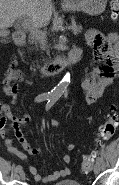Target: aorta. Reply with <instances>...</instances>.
<instances>
[{
    "label": "aorta",
    "mask_w": 119,
    "mask_h": 185,
    "mask_svg": "<svg viewBox=\"0 0 119 185\" xmlns=\"http://www.w3.org/2000/svg\"><path fill=\"white\" fill-rule=\"evenodd\" d=\"M69 82H70V74L67 73L63 77V79L58 83V85L54 87V89L52 90V94L61 95L62 93H64Z\"/></svg>",
    "instance_id": "obj_1"
}]
</instances>
